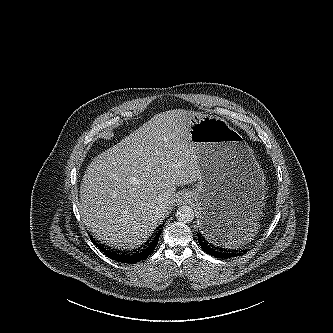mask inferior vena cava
<instances>
[{"mask_svg":"<svg viewBox=\"0 0 333 333\" xmlns=\"http://www.w3.org/2000/svg\"><path fill=\"white\" fill-rule=\"evenodd\" d=\"M158 210H159L160 213H165L166 212V208L164 207V205H163V207H161V209H158Z\"/></svg>","mask_w":333,"mask_h":333,"instance_id":"inferior-vena-cava-1","label":"inferior vena cava"}]
</instances>
